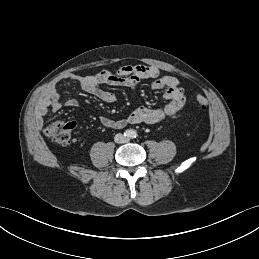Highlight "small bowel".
I'll list each match as a JSON object with an SVG mask.
<instances>
[{
    "instance_id": "small-bowel-1",
    "label": "small bowel",
    "mask_w": 259,
    "mask_h": 259,
    "mask_svg": "<svg viewBox=\"0 0 259 259\" xmlns=\"http://www.w3.org/2000/svg\"><path fill=\"white\" fill-rule=\"evenodd\" d=\"M65 79L77 82L81 89L103 102L113 103L116 95L108 90L101 88V85L129 87L137 91L140 81L151 80L153 90H162L163 96L168 103L161 108L149 109L143 106L135 108L127 117L113 120L102 116L99 121L104 127L121 129L128 124H157L180 111L186 103V95L178 80L169 75H161L160 71L154 66L148 65H125L113 72L102 70L97 73L84 76L68 74ZM68 107L80 108L82 103L76 99H69L65 102ZM61 95L56 87H52L47 92L45 98L40 102L35 115V129L41 130L43 119L49 110L58 111L62 108Z\"/></svg>"
}]
</instances>
